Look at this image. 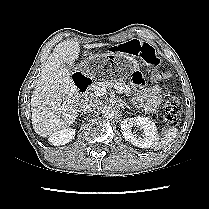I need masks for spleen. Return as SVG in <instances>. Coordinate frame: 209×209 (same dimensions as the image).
<instances>
[{"label":"spleen","instance_id":"3e777b00","mask_svg":"<svg viewBox=\"0 0 209 209\" xmlns=\"http://www.w3.org/2000/svg\"><path fill=\"white\" fill-rule=\"evenodd\" d=\"M178 135V129L176 127H169L163 133V137L157 143V149L166 147L169 145Z\"/></svg>","mask_w":209,"mask_h":209}]
</instances>
